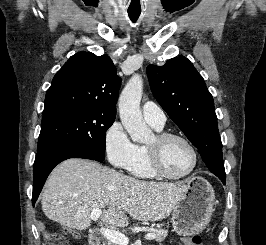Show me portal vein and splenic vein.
<instances>
[{
	"instance_id": "obj_1",
	"label": "portal vein and splenic vein",
	"mask_w": 266,
	"mask_h": 245,
	"mask_svg": "<svg viewBox=\"0 0 266 245\" xmlns=\"http://www.w3.org/2000/svg\"><path fill=\"white\" fill-rule=\"evenodd\" d=\"M102 213V209H93L90 217L92 221H98L100 215ZM101 233L105 239L111 241V243H115V245H129V239L123 233H119V231H112V229H101ZM144 239L147 241H152V239H156V235L154 233H148L145 235Z\"/></svg>"
}]
</instances>
